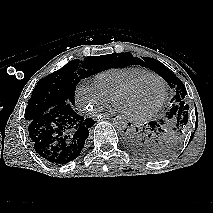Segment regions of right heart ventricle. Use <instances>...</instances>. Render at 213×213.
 <instances>
[{
  "instance_id": "right-heart-ventricle-1",
  "label": "right heart ventricle",
  "mask_w": 213,
  "mask_h": 213,
  "mask_svg": "<svg viewBox=\"0 0 213 213\" xmlns=\"http://www.w3.org/2000/svg\"><path fill=\"white\" fill-rule=\"evenodd\" d=\"M151 72L140 66H124L103 71L95 76L96 85L110 98L134 78Z\"/></svg>"
}]
</instances>
